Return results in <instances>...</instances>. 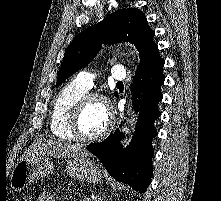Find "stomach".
<instances>
[{
    "instance_id": "1",
    "label": "stomach",
    "mask_w": 221,
    "mask_h": 201,
    "mask_svg": "<svg viewBox=\"0 0 221 201\" xmlns=\"http://www.w3.org/2000/svg\"><path fill=\"white\" fill-rule=\"evenodd\" d=\"M67 172L79 181L89 183L99 182L102 174L86 156H74L68 159ZM54 170L53 161L46 156H31L21 159L14 167L10 176V185L15 190H21L29 184L48 176Z\"/></svg>"
}]
</instances>
